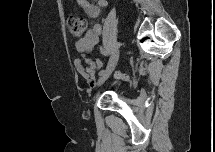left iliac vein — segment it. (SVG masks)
Returning a JSON list of instances; mask_svg holds the SVG:
<instances>
[{
    "label": "left iliac vein",
    "instance_id": "4c4485c4",
    "mask_svg": "<svg viewBox=\"0 0 215 152\" xmlns=\"http://www.w3.org/2000/svg\"><path fill=\"white\" fill-rule=\"evenodd\" d=\"M118 58H119V51L116 50L113 53L112 57L110 58L107 68L103 71L105 74L103 76H100V78L97 82L98 86L103 84L107 80V78L111 75V73L113 72V70L117 64Z\"/></svg>",
    "mask_w": 215,
    "mask_h": 152
}]
</instances>
